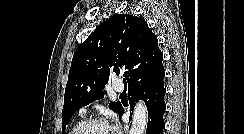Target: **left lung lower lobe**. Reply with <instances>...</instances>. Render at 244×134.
I'll list each match as a JSON object with an SVG mask.
<instances>
[{"label": "left lung lower lobe", "instance_id": "0a47b994", "mask_svg": "<svg viewBox=\"0 0 244 134\" xmlns=\"http://www.w3.org/2000/svg\"><path fill=\"white\" fill-rule=\"evenodd\" d=\"M165 92L162 78L155 79L141 90H128V100L132 108L139 99L144 100L146 103L149 117L146 134H163L165 128L163 114L166 109ZM123 112L124 109L122 108L119 115L122 116Z\"/></svg>", "mask_w": 244, "mask_h": 134}]
</instances>
